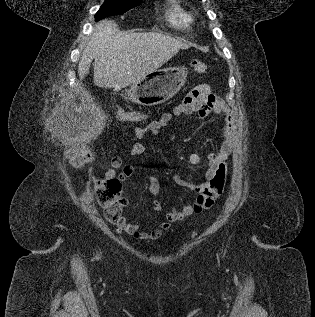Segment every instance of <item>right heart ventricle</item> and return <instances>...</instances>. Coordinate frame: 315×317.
Returning <instances> with one entry per match:
<instances>
[{"label": "right heart ventricle", "mask_w": 315, "mask_h": 317, "mask_svg": "<svg viewBox=\"0 0 315 317\" xmlns=\"http://www.w3.org/2000/svg\"><path fill=\"white\" fill-rule=\"evenodd\" d=\"M165 17L172 27L179 29L189 28L194 22L193 14L179 0H168Z\"/></svg>", "instance_id": "obj_1"}]
</instances>
